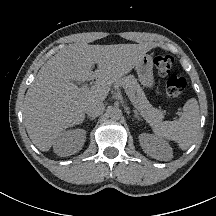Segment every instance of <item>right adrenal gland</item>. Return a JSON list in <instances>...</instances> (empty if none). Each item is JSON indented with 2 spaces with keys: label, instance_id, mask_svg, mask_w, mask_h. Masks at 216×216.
<instances>
[{
  "label": "right adrenal gland",
  "instance_id": "1",
  "mask_svg": "<svg viewBox=\"0 0 216 216\" xmlns=\"http://www.w3.org/2000/svg\"><path fill=\"white\" fill-rule=\"evenodd\" d=\"M87 119H89V120H95V117H87Z\"/></svg>",
  "mask_w": 216,
  "mask_h": 216
}]
</instances>
